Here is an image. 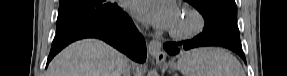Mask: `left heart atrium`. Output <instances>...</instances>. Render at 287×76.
<instances>
[{"label": "left heart atrium", "mask_w": 287, "mask_h": 76, "mask_svg": "<svg viewBox=\"0 0 287 76\" xmlns=\"http://www.w3.org/2000/svg\"><path fill=\"white\" fill-rule=\"evenodd\" d=\"M131 11L138 19L148 22L158 28H173L179 11L171 0H134Z\"/></svg>", "instance_id": "left-heart-atrium-1"}]
</instances>
